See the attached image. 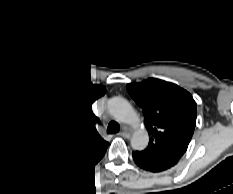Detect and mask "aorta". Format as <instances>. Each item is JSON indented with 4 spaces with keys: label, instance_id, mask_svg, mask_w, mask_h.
Listing matches in <instances>:
<instances>
[{
    "label": "aorta",
    "instance_id": "1",
    "mask_svg": "<svg viewBox=\"0 0 233 194\" xmlns=\"http://www.w3.org/2000/svg\"><path fill=\"white\" fill-rule=\"evenodd\" d=\"M120 120L135 129L131 145L136 150L144 149L148 144V133L140 127V119L135 110L124 99H113L110 103Z\"/></svg>",
    "mask_w": 233,
    "mask_h": 194
}]
</instances>
